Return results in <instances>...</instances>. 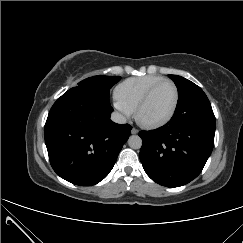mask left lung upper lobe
Listing matches in <instances>:
<instances>
[{"mask_svg":"<svg viewBox=\"0 0 243 243\" xmlns=\"http://www.w3.org/2000/svg\"><path fill=\"white\" fill-rule=\"evenodd\" d=\"M178 89V102L171 121L191 123L215 128V116L211 104L202 89L178 75H168Z\"/></svg>","mask_w":243,"mask_h":243,"instance_id":"left-lung-upper-lobe-1","label":"left lung upper lobe"}]
</instances>
